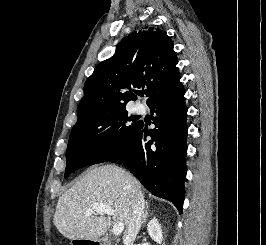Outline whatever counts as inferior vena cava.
Segmentation results:
<instances>
[{
  "instance_id": "inferior-vena-cava-1",
  "label": "inferior vena cava",
  "mask_w": 266,
  "mask_h": 245,
  "mask_svg": "<svg viewBox=\"0 0 266 245\" xmlns=\"http://www.w3.org/2000/svg\"><path fill=\"white\" fill-rule=\"evenodd\" d=\"M144 197L140 191H131L130 219L123 235V245H133L142 225L144 217Z\"/></svg>"
}]
</instances>
